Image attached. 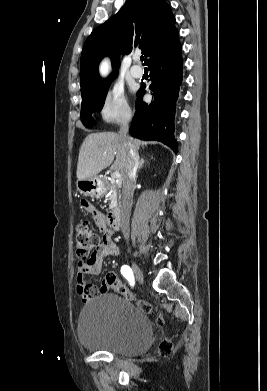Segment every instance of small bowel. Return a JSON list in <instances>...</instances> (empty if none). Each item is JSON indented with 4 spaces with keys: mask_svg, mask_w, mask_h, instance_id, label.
I'll return each mask as SVG.
<instances>
[{
    "mask_svg": "<svg viewBox=\"0 0 267 391\" xmlns=\"http://www.w3.org/2000/svg\"><path fill=\"white\" fill-rule=\"evenodd\" d=\"M81 208L90 214L94 224L105 231L102 244L85 261H80L77 266V292L85 301L91 300L98 293H105L110 288L108 273L104 276L100 287L90 284L87 274L98 275L102 271L103 261L106 257L119 255V247L105 230V217L91 202L81 201Z\"/></svg>",
    "mask_w": 267,
    "mask_h": 391,
    "instance_id": "small-bowel-1",
    "label": "small bowel"
}]
</instances>
